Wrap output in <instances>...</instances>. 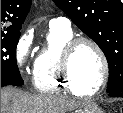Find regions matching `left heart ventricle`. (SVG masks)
Wrapping results in <instances>:
<instances>
[{
	"label": "left heart ventricle",
	"instance_id": "1",
	"mask_svg": "<svg viewBox=\"0 0 123 113\" xmlns=\"http://www.w3.org/2000/svg\"><path fill=\"white\" fill-rule=\"evenodd\" d=\"M74 83L85 91L94 90L102 77V64L96 51L88 44H82L71 62Z\"/></svg>",
	"mask_w": 123,
	"mask_h": 113
}]
</instances>
